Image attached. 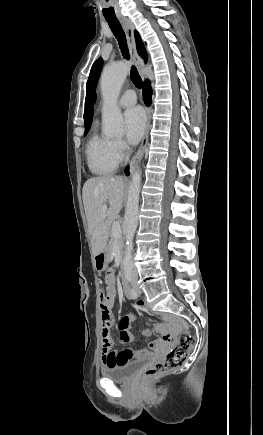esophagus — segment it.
Listing matches in <instances>:
<instances>
[{"label": "esophagus", "mask_w": 263, "mask_h": 435, "mask_svg": "<svg viewBox=\"0 0 263 435\" xmlns=\"http://www.w3.org/2000/svg\"><path fill=\"white\" fill-rule=\"evenodd\" d=\"M120 22L123 26L125 33H126L128 46H129V53H130L135 65H136V67L138 68V70H141L144 68V63H143V60L139 56L137 49H136V41H135V36H134V25L131 22V20H129L127 18H121ZM143 79H145V77H143ZM149 128H150V109L147 107L146 108V125H145L144 136H143V139L141 141V144H140V147H139L137 153L135 154V156L133 157V159L130 162V169H132L138 163V161L142 158V156L144 154V150H145L147 143H148Z\"/></svg>", "instance_id": "obj_1"}]
</instances>
